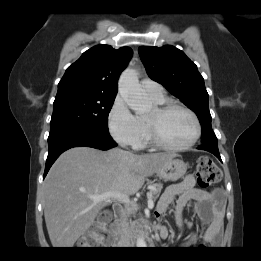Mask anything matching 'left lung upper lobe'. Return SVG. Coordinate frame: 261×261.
<instances>
[{
	"instance_id": "obj_1",
	"label": "left lung upper lobe",
	"mask_w": 261,
	"mask_h": 261,
	"mask_svg": "<svg viewBox=\"0 0 261 261\" xmlns=\"http://www.w3.org/2000/svg\"><path fill=\"white\" fill-rule=\"evenodd\" d=\"M138 52L149 77L196 113L202 127L201 142L217 143L211 126L208 93L197 66L174 46H141Z\"/></svg>"
}]
</instances>
